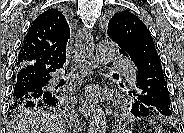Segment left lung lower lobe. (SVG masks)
<instances>
[{
	"label": "left lung lower lobe",
	"instance_id": "obj_1",
	"mask_svg": "<svg viewBox=\"0 0 184 133\" xmlns=\"http://www.w3.org/2000/svg\"><path fill=\"white\" fill-rule=\"evenodd\" d=\"M136 67V85L129 92L133 98L129 105L131 114L136 117L171 116L172 106L160 61L143 56Z\"/></svg>",
	"mask_w": 184,
	"mask_h": 133
}]
</instances>
